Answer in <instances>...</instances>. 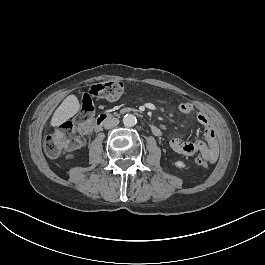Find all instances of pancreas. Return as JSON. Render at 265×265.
Returning a JSON list of instances; mask_svg holds the SVG:
<instances>
[{"mask_svg":"<svg viewBox=\"0 0 265 265\" xmlns=\"http://www.w3.org/2000/svg\"><path fill=\"white\" fill-rule=\"evenodd\" d=\"M127 110H129V111H130V110H133V109L127 108Z\"/></svg>","mask_w":265,"mask_h":265,"instance_id":"cf45deb5","label":"pancreas"}]
</instances>
